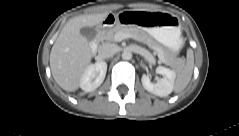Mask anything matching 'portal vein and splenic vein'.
Segmentation results:
<instances>
[{
    "instance_id": "obj_1",
    "label": "portal vein and splenic vein",
    "mask_w": 239,
    "mask_h": 136,
    "mask_svg": "<svg viewBox=\"0 0 239 136\" xmlns=\"http://www.w3.org/2000/svg\"><path fill=\"white\" fill-rule=\"evenodd\" d=\"M132 37H133V36L130 35V34H126V33H121V32H119V33H117V34L115 35V40H116V41H122V40H124V39L132 38Z\"/></svg>"
}]
</instances>
